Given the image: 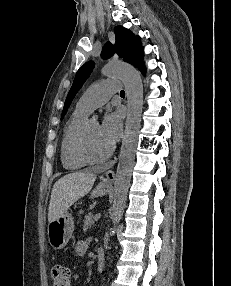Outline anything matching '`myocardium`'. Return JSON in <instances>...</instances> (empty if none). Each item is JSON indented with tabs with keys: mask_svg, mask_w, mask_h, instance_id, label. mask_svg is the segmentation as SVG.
I'll return each mask as SVG.
<instances>
[{
	"mask_svg": "<svg viewBox=\"0 0 231 286\" xmlns=\"http://www.w3.org/2000/svg\"><path fill=\"white\" fill-rule=\"evenodd\" d=\"M88 123L89 121L84 122L81 126L80 130L77 133V136L74 141V154L75 156L84 164L94 165L100 164L107 161L113 153L114 147L111 146L106 154L101 157L92 156L87 149V131H88Z\"/></svg>",
	"mask_w": 231,
	"mask_h": 286,
	"instance_id": "1",
	"label": "myocardium"
}]
</instances>
